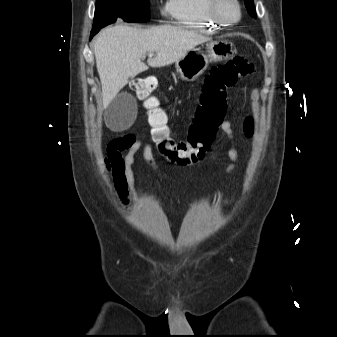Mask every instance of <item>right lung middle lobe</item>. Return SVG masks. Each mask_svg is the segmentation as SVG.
Returning <instances> with one entry per match:
<instances>
[{
    "instance_id": "right-lung-middle-lobe-1",
    "label": "right lung middle lobe",
    "mask_w": 337,
    "mask_h": 337,
    "mask_svg": "<svg viewBox=\"0 0 337 337\" xmlns=\"http://www.w3.org/2000/svg\"><path fill=\"white\" fill-rule=\"evenodd\" d=\"M149 0H96L94 25H109L117 19L126 22H147Z\"/></svg>"
}]
</instances>
